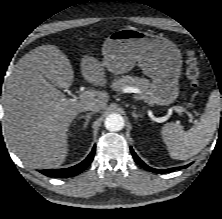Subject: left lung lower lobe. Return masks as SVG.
Returning <instances> with one entry per match:
<instances>
[{
	"label": "left lung lower lobe",
	"instance_id": "0a47b994",
	"mask_svg": "<svg viewBox=\"0 0 222 219\" xmlns=\"http://www.w3.org/2000/svg\"><path fill=\"white\" fill-rule=\"evenodd\" d=\"M130 151L132 153V156L135 160L136 163H138L140 166H142L144 169L146 170H149L151 172H157V173H169V172H172L174 170H177V169H181V168H187L189 165H186V166H182V167H175V168H169V169H164V170H159V169H154V168H151L149 167L148 165H146L137 155L136 153L134 152V150L132 149V147H130Z\"/></svg>",
	"mask_w": 222,
	"mask_h": 219
}]
</instances>
